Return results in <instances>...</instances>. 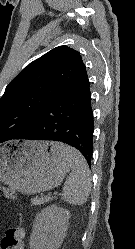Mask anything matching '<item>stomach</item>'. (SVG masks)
I'll use <instances>...</instances> for the list:
<instances>
[{"mask_svg":"<svg viewBox=\"0 0 135 249\" xmlns=\"http://www.w3.org/2000/svg\"><path fill=\"white\" fill-rule=\"evenodd\" d=\"M52 143L15 141L2 146L0 181L23 194L40 193L58 186L70 170V163L52 150Z\"/></svg>","mask_w":135,"mask_h":249,"instance_id":"0dacf381","label":"stomach"}]
</instances>
